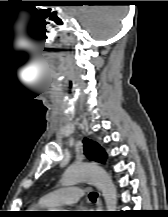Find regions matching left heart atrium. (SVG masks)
I'll list each match as a JSON object with an SVG mask.
<instances>
[{
  "instance_id": "left-heart-atrium-1",
  "label": "left heart atrium",
  "mask_w": 168,
  "mask_h": 217,
  "mask_svg": "<svg viewBox=\"0 0 168 217\" xmlns=\"http://www.w3.org/2000/svg\"><path fill=\"white\" fill-rule=\"evenodd\" d=\"M83 213L84 212L82 210H80L76 213V215H77V217H82V215H84Z\"/></svg>"
}]
</instances>
